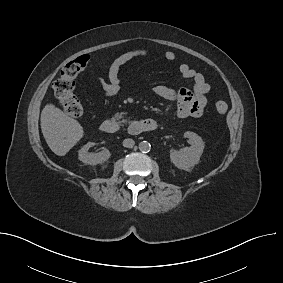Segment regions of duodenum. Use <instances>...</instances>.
Here are the masks:
<instances>
[{
  "mask_svg": "<svg viewBox=\"0 0 283 283\" xmlns=\"http://www.w3.org/2000/svg\"><path fill=\"white\" fill-rule=\"evenodd\" d=\"M157 126V122L153 119L136 120L129 125L128 131L132 135H138L144 132L154 131ZM100 129L104 133L114 134L119 131V125L113 119H106L101 123Z\"/></svg>",
  "mask_w": 283,
  "mask_h": 283,
  "instance_id": "duodenum-1",
  "label": "duodenum"
}]
</instances>
